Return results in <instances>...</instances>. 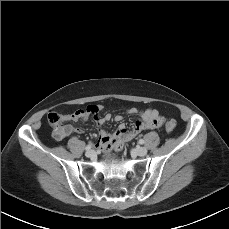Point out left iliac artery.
<instances>
[{"mask_svg":"<svg viewBox=\"0 0 229 229\" xmlns=\"http://www.w3.org/2000/svg\"><path fill=\"white\" fill-rule=\"evenodd\" d=\"M139 143H140V144H144V140H143V139H140V140H139Z\"/></svg>","mask_w":229,"mask_h":229,"instance_id":"left-iliac-artery-1","label":"left iliac artery"}]
</instances>
